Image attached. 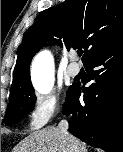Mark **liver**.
Masks as SVG:
<instances>
[{"label":"liver","instance_id":"6515ba94","mask_svg":"<svg viewBox=\"0 0 123 152\" xmlns=\"http://www.w3.org/2000/svg\"><path fill=\"white\" fill-rule=\"evenodd\" d=\"M13 152H87L86 145L58 127H48L25 137Z\"/></svg>","mask_w":123,"mask_h":152}]
</instances>
